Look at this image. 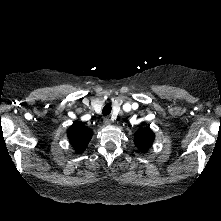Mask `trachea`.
Masks as SVG:
<instances>
[{"label": "trachea", "mask_w": 221, "mask_h": 221, "mask_svg": "<svg viewBox=\"0 0 221 221\" xmlns=\"http://www.w3.org/2000/svg\"><path fill=\"white\" fill-rule=\"evenodd\" d=\"M111 111H112L111 105H110V104H106V105L103 107L102 114H103L104 116H107V115H109V114L111 113Z\"/></svg>", "instance_id": "trachea-1"}]
</instances>
